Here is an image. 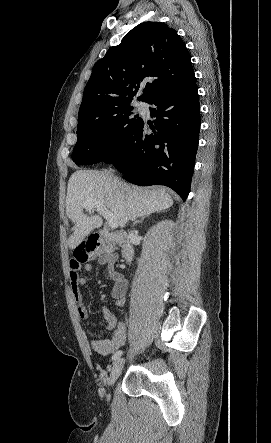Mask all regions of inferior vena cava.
I'll return each mask as SVG.
<instances>
[{"label": "inferior vena cava", "instance_id": "obj_1", "mask_svg": "<svg viewBox=\"0 0 271 443\" xmlns=\"http://www.w3.org/2000/svg\"><path fill=\"white\" fill-rule=\"evenodd\" d=\"M117 182H118V184H117L118 188H124V186H122V182H120V180H118V178H117Z\"/></svg>", "mask_w": 271, "mask_h": 443}]
</instances>
